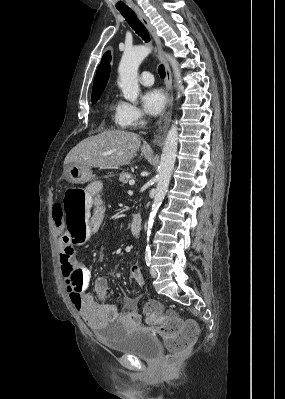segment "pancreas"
<instances>
[{
	"mask_svg": "<svg viewBox=\"0 0 285 399\" xmlns=\"http://www.w3.org/2000/svg\"><path fill=\"white\" fill-rule=\"evenodd\" d=\"M130 177H131V174H130V173L123 171V172L120 174L119 181H120L122 184H127Z\"/></svg>",
	"mask_w": 285,
	"mask_h": 399,
	"instance_id": "cf45deb5",
	"label": "pancreas"
}]
</instances>
